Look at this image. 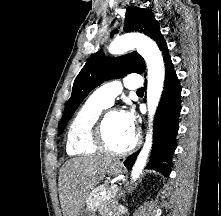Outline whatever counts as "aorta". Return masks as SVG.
Returning a JSON list of instances; mask_svg holds the SVG:
<instances>
[{
	"mask_svg": "<svg viewBox=\"0 0 221 216\" xmlns=\"http://www.w3.org/2000/svg\"><path fill=\"white\" fill-rule=\"evenodd\" d=\"M136 48L144 58L148 71L147 106L149 115V131L145 144L137 157L132 169V179H136L146 165V161L152 146L151 122L159 104L165 78L164 62L161 51L156 43L145 35L130 33L116 37L109 45V52L117 55Z\"/></svg>",
	"mask_w": 221,
	"mask_h": 216,
	"instance_id": "1",
	"label": "aorta"
}]
</instances>
